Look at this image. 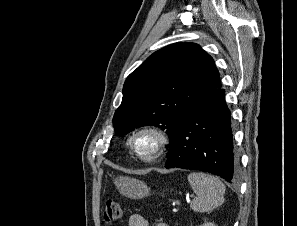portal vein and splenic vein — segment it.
<instances>
[{
	"label": "portal vein and splenic vein",
	"mask_w": 297,
	"mask_h": 226,
	"mask_svg": "<svg viewBox=\"0 0 297 226\" xmlns=\"http://www.w3.org/2000/svg\"><path fill=\"white\" fill-rule=\"evenodd\" d=\"M176 204H180V202H179V201H177V202H176Z\"/></svg>",
	"instance_id": "1"
}]
</instances>
